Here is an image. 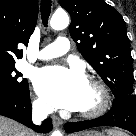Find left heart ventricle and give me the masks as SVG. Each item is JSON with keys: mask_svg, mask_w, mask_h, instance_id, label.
<instances>
[{"mask_svg": "<svg viewBox=\"0 0 136 136\" xmlns=\"http://www.w3.org/2000/svg\"><path fill=\"white\" fill-rule=\"evenodd\" d=\"M99 95L97 90L88 83L85 93V98L83 101V105L80 108V111L89 110L95 107L98 104Z\"/></svg>", "mask_w": 136, "mask_h": 136, "instance_id": "1", "label": "left heart ventricle"}]
</instances>
